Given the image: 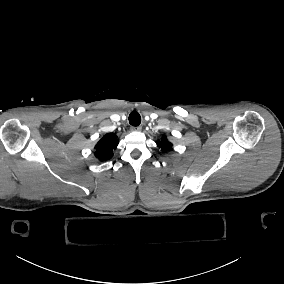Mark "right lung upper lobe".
I'll return each mask as SVG.
<instances>
[{
  "label": "right lung upper lobe",
  "mask_w": 284,
  "mask_h": 284,
  "mask_svg": "<svg viewBox=\"0 0 284 284\" xmlns=\"http://www.w3.org/2000/svg\"><path fill=\"white\" fill-rule=\"evenodd\" d=\"M118 145L117 136L114 133L104 135L95 146V156L100 161H107L112 158L113 151Z\"/></svg>",
  "instance_id": "right-lung-upper-lobe-1"
}]
</instances>
